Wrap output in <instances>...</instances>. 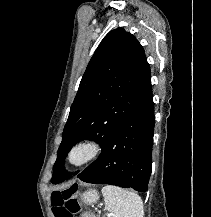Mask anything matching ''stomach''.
I'll return each mask as SVG.
<instances>
[{
    "mask_svg": "<svg viewBox=\"0 0 211 217\" xmlns=\"http://www.w3.org/2000/svg\"><path fill=\"white\" fill-rule=\"evenodd\" d=\"M98 199H99V194L96 190L93 189L87 190L81 195V200L85 204L95 203L98 201Z\"/></svg>",
    "mask_w": 211,
    "mask_h": 217,
    "instance_id": "obj_1",
    "label": "stomach"
}]
</instances>
